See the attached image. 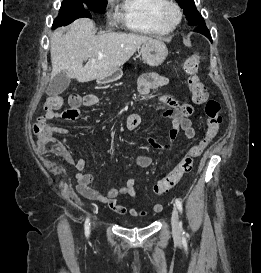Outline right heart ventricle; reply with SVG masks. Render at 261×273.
<instances>
[{
  "label": "right heart ventricle",
  "instance_id": "1",
  "mask_svg": "<svg viewBox=\"0 0 261 273\" xmlns=\"http://www.w3.org/2000/svg\"><path fill=\"white\" fill-rule=\"evenodd\" d=\"M164 0H118L115 16L133 32L148 35H166L171 30L158 19V10Z\"/></svg>",
  "mask_w": 261,
  "mask_h": 273
}]
</instances>
